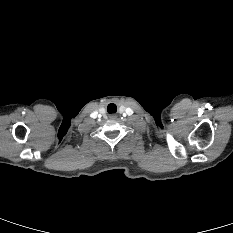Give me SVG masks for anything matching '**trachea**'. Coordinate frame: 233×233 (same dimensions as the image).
I'll return each mask as SVG.
<instances>
[{"instance_id": "3493384b", "label": "trachea", "mask_w": 233, "mask_h": 233, "mask_svg": "<svg viewBox=\"0 0 233 233\" xmlns=\"http://www.w3.org/2000/svg\"><path fill=\"white\" fill-rule=\"evenodd\" d=\"M116 110H117V107H116L115 104H109L108 107H107V111H108L109 113H115Z\"/></svg>"}]
</instances>
